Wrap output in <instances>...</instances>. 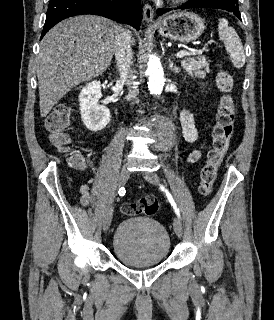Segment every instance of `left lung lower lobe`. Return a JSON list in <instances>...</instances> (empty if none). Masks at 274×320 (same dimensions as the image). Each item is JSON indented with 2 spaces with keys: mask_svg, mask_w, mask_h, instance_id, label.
Instances as JSON below:
<instances>
[{
  "mask_svg": "<svg viewBox=\"0 0 274 320\" xmlns=\"http://www.w3.org/2000/svg\"><path fill=\"white\" fill-rule=\"evenodd\" d=\"M189 8L223 9V10H227L229 12H233L241 20V16H240V12H239L238 7L225 4V3L220 2L218 0H190V2L181 6V9H189ZM170 10H172V9L159 8V9H157V14L162 15Z\"/></svg>",
  "mask_w": 274,
  "mask_h": 320,
  "instance_id": "1",
  "label": "left lung lower lobe"
}]
</instances>
